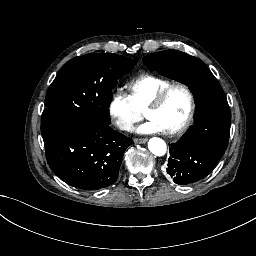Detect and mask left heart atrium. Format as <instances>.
Instances as JSON below:
<instances>
[{
	"label": "left heart atrium",
	"instance_id": "39dd6f15",
	"mask_svg": "<svg viewBox=\"0 0 256 256\" xmlns=\"http://www.w3.org/2000/svg\"><path fill=\"white\" fill-rule=\"evenodd\" d=\"M142 129L144 132L148 133H169L166 123L158 117H151L142 125Z\"/></svg>",
	"mask_w": 256,
	"mask_h": 256
}]
</instances>
